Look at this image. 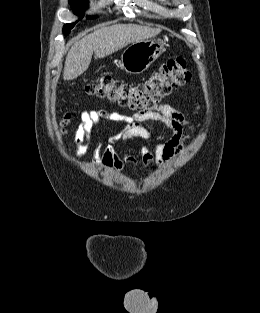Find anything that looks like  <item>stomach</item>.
<instances>
[{"instance_id":"0dacf381","label":"stomach","mask_w":260,"mask_h":313,"mask_svg":"<svg viewBox=\"0 0 260 313\" xmlns=\"http://www.w3.org/2000/svg\"><path fill=\"white\" fill-rule=\"evenodd\" d=\"M165 50V42L160 39L133 42L121 55V66L127 73L141 74Z\"/></svg>"}]
</instances>
